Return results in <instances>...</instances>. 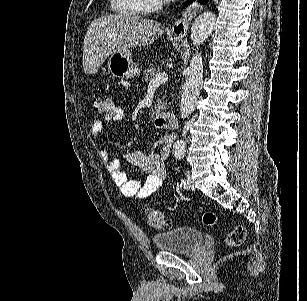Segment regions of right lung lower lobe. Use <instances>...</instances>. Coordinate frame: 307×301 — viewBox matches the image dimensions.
<instances>
[{
	"label": "right lung lower lobe",
	"instance_id": "right-lung-lower-lobe-1",
	"mask_svg": "<svg viewBox=\"0 0 307 301\" xmlns=\"http://www.w3.org/2000/svg\"><path fill=\"white\" fill-rule=\"evenodd\" d=\"M201 3H206L208 0H199ZM189 3H191V0H190V2H188V4ZM185 6H186V4H185Z\"/></svg>",
	"mask_w": 307,
	"mask_h": 301
}]
</instances>
